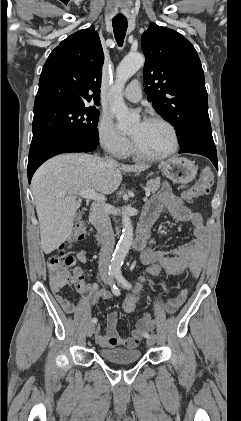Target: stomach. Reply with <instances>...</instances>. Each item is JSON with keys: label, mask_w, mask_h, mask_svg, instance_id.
Returning <instances> with one entry per match:
<instances>
[{"label": "stomach", "mask_w": 241, "mask_h": 421, "mask_svg": "<svg viewBox=\"0 0 241 421\" xmlns=\"http://www.w3.org/2000/svg\"><path fill=\"white\" fill-rule=\"evenodd\" d=\"M161 170L167 178L175 183L191 182L197 174L194 163L183 157H173L163 161Z\"/></svg>", "instance_id": "stomach-1"}]
</instances>
